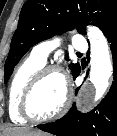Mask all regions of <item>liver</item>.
<instances>
[{
	"instance_id": "liver-1",
	"label": "liver",
	"mask_w": 117,
	"mask_h": 136,
	"mask_svg": "<svg viewBox=\"0 0 117 136\" xmlns=\"http://www.w3.org/2000/svg\"><path fill=\"white\" fill-rule=\"evenodd\" d=\"M5 136H44V134L26 127H13L6 130Z\"/></svg>"
}]
</instances>
